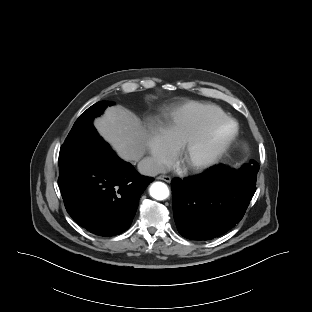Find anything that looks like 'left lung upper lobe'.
<instances>
[{
  "label": "left lung upper lobe",
  "instance_id": "5c2ea615",
  "mask_svg": "<svg viewBox=\"0 0 312 312\" xmlns=\"http://www.w3.org/2000/svg\"><path fill=\"white\" fill-rule=\"evenodd\" d=\"M258 170V163L254 160H251L248 164H244L239 170L236 171L238 174L252 181L256 179Z\"/></svg>",
  "mask_w": 312,
  "mask_h": 312
}]
</instances>
